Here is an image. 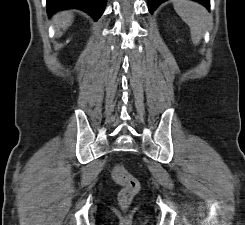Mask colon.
I'll use <instances>...</instances> for the list:
<instances>
[{
  "instance_id": "5ec220e1",
  "label": "colon",
  "mask_w": 245,
  "mask_h": 225,
  "mask_svg": "<svg viewBox=\"0 0 245 225\" xmlns=\"http://www.w3.org/2000/svg\"><path fill=\"white\" fill-rule=\"evenodd\" d=\"M112 176L114 181L121 186L118 194V203L121 208L126 209L139 193L140 183L122 164H116L114 166Z\"/></svg>"
}]
</instances>
